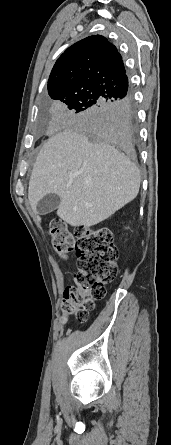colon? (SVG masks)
<instances>
[{"instance_id": "1", "label": "colon", "mask_w": 171, "mask_h": 445, "mask_svg": "<svg viewBox=\"0 0 171 445\" xmlns=\"http://www.w3.org/2000/svg\"><path fill=\"white\" fill-rule=\"evenodd\" d=\"M55 252L67 258L76 251L78 272L74 286L64 292L62 312L64 316L75 315L79 321L88 319L95 300L106 296L105 283L115 279L118 251L106 228H78L75 234L68 231L62 222L55 220L49 228Z\"/></svg>"}]
</instances>
